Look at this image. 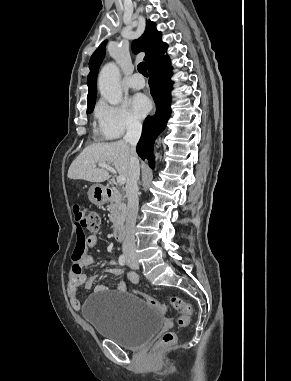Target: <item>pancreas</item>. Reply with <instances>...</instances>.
Listing matches in <instances>:
<instances>
[{
  "label": "pancreas",
  "instance_id": "1",
  "mask_svg": "<svg viewBox=\"0 0 291 381\" xmlns=\"http://www.w3.org/2000/svg\"><path fill=\"white\" fill-rule=\"evenodd\" d=\"M108 209L110 212L109 218L113 224L112 228H117L124 222L126 213L124 199L118 191L114 192V197L112 198Z\"/></svg>",
  "mask_w": 291,
  "mask_h": 381
}]
</instances>
